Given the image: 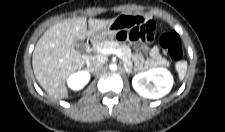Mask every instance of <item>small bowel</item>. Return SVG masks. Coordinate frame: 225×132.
<instances>
[{
	"label": "small bowel",
	"mask_w": 225,
	"mask_h": 132,
	"mask_svg": "<svg viewBox=\"0 0 225 132\" xmlns=\"http://www.w3.org/2000/svg\"><path fill=\"white\" fill-rule=\"evenodd\" d=\"M145 19L141 16H128L123 19V24L126 28L139 25L143 23ZM142 49H148L147 46H142ZM150 58H144L140 53H137L133 57L134 65L138 70L145 71L155 67H161L166 64V60L157 46H152L149 49Z\"/></svg>",
	"instance_id": "obj_1"
}]
</instances>
